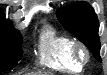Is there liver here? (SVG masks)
<instances>
[{
    "label": "liver",
    "mask_w": 107,
    "mask_h": 75,
    "mask_svg": "<svg viewBox=\"0 0 107 75\" xmlns=\"http://www.w3.org/2000/svg\"><path fill=\"white\" fill-rule=\"evenodd\" d=\"M28 75H51V74H49L48 72H45V73L35 72V73H32V74H28Z\"/></svg>",
    "instance_id": "1"
}]
</instances>
